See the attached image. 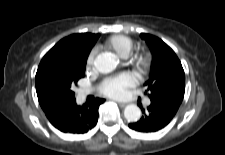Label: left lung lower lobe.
<instances>
[{"label": "left lung lower lobe", "instance_id": "0a47b994", "mask_svg": "<svg viewBox=\"0 0 225 155\" xmlns=\"http://www.w3.org/2000/svg\"><path fill=\"white\" fill-rule=\"evenodd\" d=\"M181 103L172 100H151L147 109L142 108L144 116L129 127L139 132H156L167 126L177 113Z\"/></svg>", "mask_w": 225, "mask_h": 155}]
</instances>
